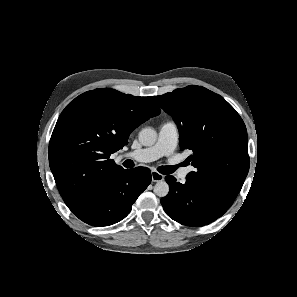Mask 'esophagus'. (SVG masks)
Returning a JSON list of instances; mask_svg holds the SVG:
<instances>
[{
	"mask_svg": "<svg viewBox=\"0 0 297 297\" xmlns=\"http://www.w3.org/2000/svg\"><path fill=\"white\" fill-rule=\"evenodd\" d=\"M151 178H152L153 182H160V181L164 180V175L160 174L157 171H152Z\"/></svg>",
	"mask_w": 297,
	"mask_h": 297,
	"instance_id": "obj_1",
	"label": "esophagus"
}]
</instances>
